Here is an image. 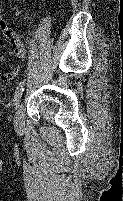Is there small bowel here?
Listing matches in <instances>:
<instances>
[{
	"label": "small bowel",
	"instance_id": "obj_1",
	"mask_svg": "<svg viewBox=\"0 0 123 201\" xmlns=\"http://www.w3.org/2000/svg\"><path fill=\"white\" fill-rule=\"evenodd\" d=\"M0 13H1V7H0ZM0 29L9 38L16 56L19 59L23 60L26 57V51L18 34L13 29H11L9 25L2 19H0ZM20 70H21V67L16 66L10 72L1 74L0 76H2L5 79H10L16 76L17 74H19Z\"/></svg>",
	"mask_w": 123,
	"mask_h": 201
}]
</instances>
